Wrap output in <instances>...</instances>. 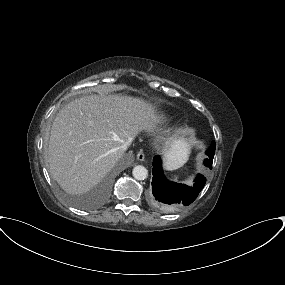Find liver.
Here are the masks:
<instances>
[{
    "instance_id": "1",
    "label": "liver",
    "mask_w": 285,
    "mask_h": 285,
    "mask_svg": "<svg viewBox=\"0 0 285 285\" xmlns=\"http://www.w3.org/2000/svg\"><path fill=\"white\" fill-rule=\"evenodd\" d=\"M160 122L155 107L140 98L102 93L76 99L63 107L52 124L47 161L51 176L68 193L97 185L123 156L121 146ZM176 140L167 158L185 155Z\"/></svg>"
}]
</instances>
